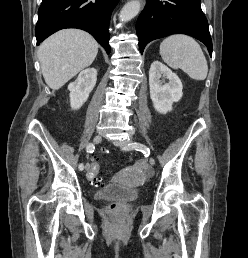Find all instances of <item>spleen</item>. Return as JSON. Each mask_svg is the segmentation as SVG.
Segmentation results:
<instances>
[{
    "label": "spleen",
    "mask_w": 248,
    "mask_h": 258,
    "mask_svg": "<svg viewBox=\"0 0 248 258\" xmlns=\"http://www.w3.org/2000/svg\"><path fill=\"white\" fill-rule=\"evenodd\" d=\"M160 55L174 69H182L191 79L204 80L208 73L205 55L197 41L183 34L171 35L160 44Z\"/></svg>",
    "instance_id": "3e777b00"
}]
</instances>
